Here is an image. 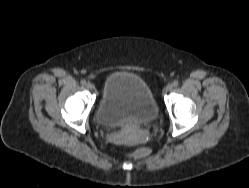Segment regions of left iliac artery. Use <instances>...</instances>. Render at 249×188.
<instances>
[{"mask_svg": "<svg viewBox=\"0 0 249 188\" xmlns=\"http://www.w3.org/2000/svg\"><path fill=\"white\" fill-rule=\"evenodd\" d=\"M178 84H179V82H178L177 80H175V81L173 82V84H172V85H173L174 87H177V86H178Z\"/></svg>", "mask_w": 249, "mask_h": 188, "instance_id": "1", "label": "left iliac artery"}]
</instances>
